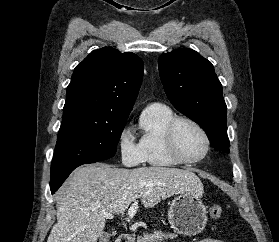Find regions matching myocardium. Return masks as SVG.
Masks as SVG:
<instances>
[{"label":"myocardium","instance_id":"1","mask_svg":"<svg viewBox=\"0 0 279 242\" xmlns=\"http://www.w3.org/2000/svg\"><path fill=\"white\" fill-rule=\"evenodd\" d=\"M181 123H188L192 126H194L202 135L204 141H205V151L204 153L194 159H190L185 157L179 150L177 140H176V130ZM165 143L167 146V149L170 153V155L179 163L181 164H196L204 160L207 155L210 152L211 149V141L210 137L205 130V128L196 120L189 118V117H184V116H176L174 117L169 124L166 127L165 130Z\"/></svg>","mask_w":279,"mask_h":242}]
</instances>
